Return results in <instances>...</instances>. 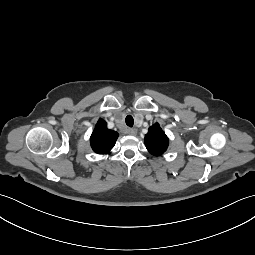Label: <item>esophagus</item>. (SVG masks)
I'll return each instance as SVG.
<instances>
[{"instance_id":"obj_1","label":"esophagus","mask_w":255,"mask_h":255,"mask_svg":"<svg viewBox=\"0 0 255 255\" xmlns=\"http://www.w3.org/2000/svg\"><path fill=\"white\" fill-rule=\"evenodd\" d=\"M127 133L134 136L137 134V130L134 128H130L127 130Z\"/></svg>"}]
</instances>
